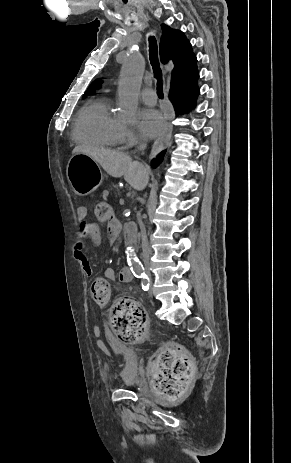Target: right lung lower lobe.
Wrapping results in <instances>:
<instances>
[{"label": "right lung lower lobe", "instance_id": "right-lung-lower-lobe-1", "mask_svg": "<svg viewBox=\"0 0 291 463\" xmlns=\"http://www.w3.org/2000/svg\"><path fill=\"white\" fill-rule=\"evenodd\" d=\"M198 72L193 76L192 80L184 86H176L170 89V97L173 103L176 115L183 114L190 110L194 105L196 98L199 95L197 86ZM166 150L162 151L156 159L152 160L151 166L156 168L163 160Z\"/></svg>", "mask_w": 291, "mask_h": 463}]
</instances>
